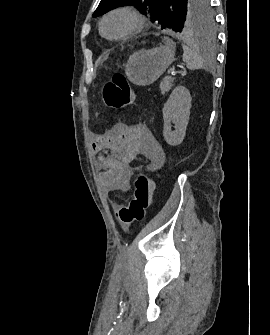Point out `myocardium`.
Listing matches in <instances>:
<instances>
[{"label": "myocardium", "mask_w": 270, "mask_h": 335, "mask_svg": "<svg viewBox=\"0 0 270 335\" xmlns=\"http://www.w3.org/2000/svg\"><path fill=\"white\" fill-rule=\"evenodd\" d=\"M118 14L130 17L134 22V26L130 31H128L127 33L121 36L110 37L104 31L105 24L109 18H111L114 15H118ZM145 25H146V19L139 12H137L136 10L132 8L122 7V8L114 9L110 11L107 15L104 16V18L102 19L100 23V31H101V34L109 40H124L140 32L145 27ZM130 78H141V77H130Z\"/></svg>", "instance_id": "myocardium-1"}]
</instances>
